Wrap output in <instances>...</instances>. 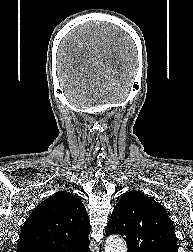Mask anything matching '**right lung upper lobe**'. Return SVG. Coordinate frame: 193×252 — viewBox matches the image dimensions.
Segmentation results:
<instances>
[{"instance_id": "1", "label": "right lung upper lobe", "mask_w": 193, "mask_h": 252, "mask_svg": "<svg viewBox=\"0 0 193 252\" xmlns=\"http://www.w3.org/2000/svg\"><path fill=\"white\" fill-rule=\"evenodd\" d=\"M90 223L82 201L62 191L41 202L21 230L18 252H82Z\"/></svg>"}]
</instances>
